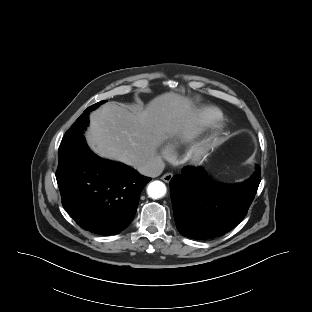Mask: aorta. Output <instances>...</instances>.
Returning a JSON list of instances; mask_svg holds the SVG:
<instances>
[{
	"label": "aorta",
	"instance_id": "1",
	"mask_svg": "<svg viewBox=\"0 0 312 312\" xmlns=\"http://www.w3.org/2000/svg\"><path fill=\"white\" fill-rule=\"evenodd\" d=\"M147 193L149 197L153 199H159L166 194V186L161 181H153L148 185Z\"/></svg>",
	"mask_w": 312,
	"mask_h": 312
}]
</instances>
